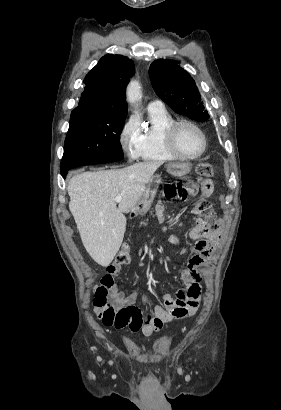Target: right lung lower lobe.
Wrapping results in <instances>:
<instances>
[{"mask_svg":"<svg viewBox=\"0 0 281 410\" xmlns=\"http://www.w3.org/2000/svg\"><path fill=\"white\" fill-rule=\"evenodd\" d=\"M66 173H67V171H63V172H61V174H62L63 178H65V177H66Z\"/></svg>","mask_w":281,"mask_h":410,"instance_id":"1","label":"right lung lower lobe"}]
</instances>
